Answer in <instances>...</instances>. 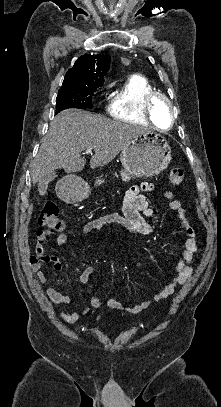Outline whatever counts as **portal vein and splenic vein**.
<instances>
[{"label":"portal vein and splenic vein","mask_w":221,"mask_h":407,"mask_svg":"<svg viewBox=\"0 0 221 407\" xmlns=\"http://www.w3.org/2000/svg\"><path fill=\"white\" fill-rule=\"evenodd\" d=\"M85 154H92V149H86Z\"/></svg>","instance_id":"1"}]
</instances>
